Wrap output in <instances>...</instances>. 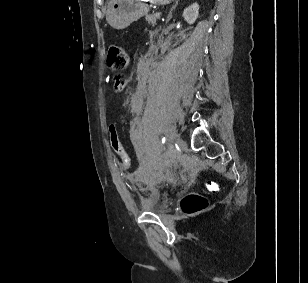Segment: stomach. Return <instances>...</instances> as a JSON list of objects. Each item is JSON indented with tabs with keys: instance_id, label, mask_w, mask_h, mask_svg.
I'll list each match as a JSON object with an SVG mask.
<instances>
[{
	"instance_id": "1",
	"label": "stomach",
	"mask_w": 308,
	"mask_h": 283,
	"mask_svg": "<svg viewBox=\"0 0 308 283\" xmlns=\"http://www.w3.org/2000/svg\"><path fill=\"white\" fill-rule=\"evenodd\" d=\"M144 0H110L106 10L107 23L114 29H125L132 22L146 15L149 6ZM157 5H165L171 0H150Z\"/></svg>"
}]
</instances>
